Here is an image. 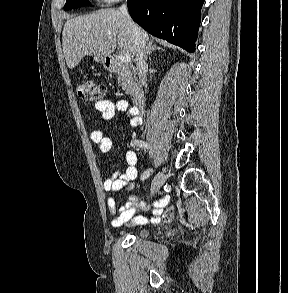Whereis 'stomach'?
<instances>
[{"instance_id": "0dacf381", "label": "stomach", "mask_w": 288, "mask_h": 293, "mask_svg": "<svg viewBox=\"0 0 288 293\" xmlns=\"http://www.w3.org/2000/svg\"><path fill=\"white\" fill-rule=\"evenodd\" d=\"M94 60L96 62H99V63L103 64L105 69H108V70L111 69L110 58L108 56H106V57L94 56Z\"/></svg>"}]
</instances>
